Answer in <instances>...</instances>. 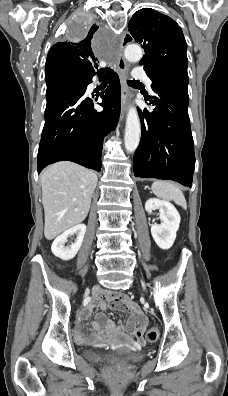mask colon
<instances>
[{"instance_id": "obj_1", "label": "colon", "mask_w": 228, "mask_h": 396, "mask_svg": "<svg viewBox=\"0 0 228 396\" xmlns=\"http://www.w3.org/2000/svg\"><path fill=\"white\" fill-rule=\"evenodd\" d=\"M158 337H159V331H158V329H156V328H150V329L147 331L146 338H147L149 341H156V340L158 339Z\"/></svg>"}]
</instances>
